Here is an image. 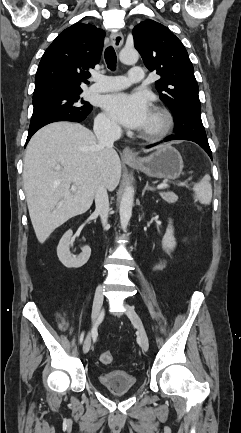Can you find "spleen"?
Returning <instances> with one entry per match:
<instances>
[{
  "instance_id": "3e777b00",
  "label": "spleen",
  "mask_w": 241,
  "mask_h": 433,
  "mask_svg": "<svg viewBox=\"0 0 241 433\" xmlns=\"http://www.w3.org/2000/svg\"><path fill=\"white\" fill-rule=\"evenodd\" d=\"M194 198L201 204L209 205L212 199V186L210 183V176L206 174L199 182L194 184Z\"/></svg>"
}]
</instances>
